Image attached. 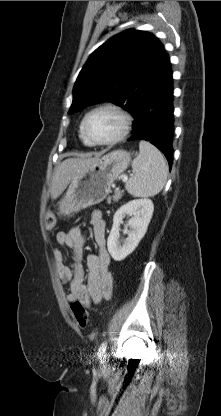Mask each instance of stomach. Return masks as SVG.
<instances>
[{"mask_svg": "<svg viewBox=\"0 0 221 416\" xmlns=\"http://www.w3.org/2000/svg\"><path fill=\"white\" fill-rule=\"evenodd\" d=\"M130 161L129 152L115 150L78 173L59 202V214L69 216L102 202L109 194L112 183L127 169Z\"/></svg>", "mask_w": 221, "mask_h": 416, "instance_id": "obj_1", "label": "stomach"}]
</instances>
